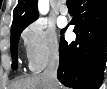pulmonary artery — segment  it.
<instances>
[{
	"mask_svg": "<svg viewBox=\"0 0 107 89\" xmlns=\"http://www.w3.org/2000/svg\"><path fill=\"white\" fill-rule=\"evenodd\" d=\"M60 12H61V14H63V15H67L68 14V8H67V6L66 5H61L60 6Z\"/></svg>",
	"mask_w": 107,
	"mask_h": 89,
	"instance_id": "1",
	"label": "pulmonary artery"
}]
</instances>
